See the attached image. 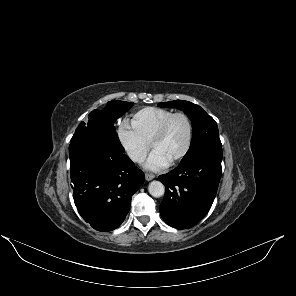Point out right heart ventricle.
Returning a JSON list of instances; mask_svg holds the SVG:
<instances>
[{
    "label": "right heart ventricle",
    "mask_w": 296,
    "mask_h": 296,
    "mask_svg": "<svg viewBox=\"0 0 296 296\" xmlns=\"http://www.w3.org/2000/svg\"><path fill=\"white\" fill-rule=\"evenodd\" d=\"M172 113L168 109L147 107L133 114L131 126L150 145L161 124Z\"/></svg>",
    "instance_id": "obj_1"
}]
</instances>
